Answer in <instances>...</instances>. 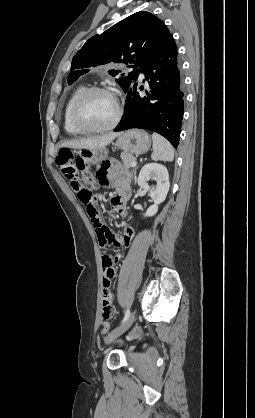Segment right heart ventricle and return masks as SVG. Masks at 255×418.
Returning <instances> with one entry per match:
<instances>
[{
    "label": "right heart ventricle",
    "mask_w": 255,
    "mask_h": 418,
    "mask_svg": "<svg viewBox=\"0 0 255 418\" xmlns=\"http://www.w3.org/2000/svg\"><path fill=\"white\" fill-rule=\"evenodd\" d=\"M86 89V86L81 84L79 86H77L72 94L70 95V97L68 98L65 107H64V111H63V126L65 131L69 134V135H79L82 132L80 130H78L77 128H75L71 122V110L73 107V104L76 100V98L79 96V94L84 91Z\"/></svg>",
    "instance_id": "e07e8e85"
}]
</instances>
